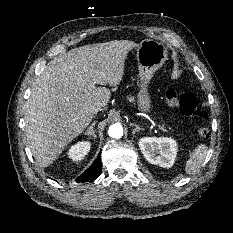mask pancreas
I'll return each instance as SVG.
<instances>
[{"instance_id": "pancreas-1", "label": "pancreas", "mask_w": 233, "mask_h": 233, "mask_svg": "<svg viewBox=\"0 0 233 233\" xmlns=\"http://www.w3.org/2000/svg\"><path fill=\"white\" fill-rule=\"evenodd\" d=\"M129 100H133V98H132V97H129Z\"/></svg>"}]
</instances>
